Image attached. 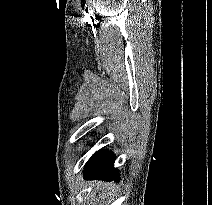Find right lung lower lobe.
I'll return each instance as SVG.
<instances>
[{"mask_svg": "<svg viewBox=\"0 0 212 205\" xmlns=\"http://www.w3.org/2000/svg\"><path fill=\"white\" fill-rule=\"evenodd\" d=\"M113 153L109 150L97 151L84 168L85 179H103L118 181L119 172L113 167Z\"/></svg>", "mask_w": 212, "mask_h": 205, "instance_id": "obj_1", "label": "right lung lower lobe"}]
</instances>
